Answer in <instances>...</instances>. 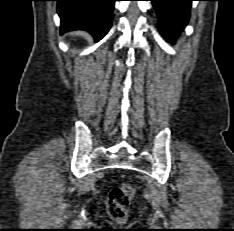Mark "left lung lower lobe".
<instances>
[{
    "instance_id": "0a47b994",
    "label": "left lung lower lobe",
    "mask_w": 234,
    "mask_h": 231,
    "mask_svg": "<svg viewBox=\"0 0 234 231\" xmlns=\"http://www.w3.org/2000/svg\"><path fill=\"white\" fill-rule=\"evenodd\" d=\"M158 15L162 34L172 42L187 24L193 0H151Z\"/></svg>"
}]
</instances>
